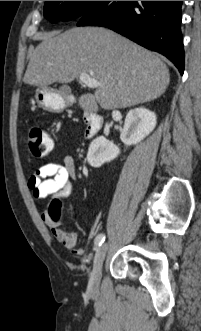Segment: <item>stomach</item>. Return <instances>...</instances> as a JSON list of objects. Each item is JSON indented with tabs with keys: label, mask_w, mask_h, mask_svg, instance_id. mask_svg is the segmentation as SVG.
Listing matches in <instances>:
<instances>
[{
	"label": "stomach",
	"mask_w": 201,
	"mask_h": 331,
	"mask_svg": "<svg viewBox=\"0 0 201 331\" xmlns=\"http://www.w3.org/2000/svg\"><path fill=\"white\" fill-rule=\"evenodd\" d=\"M38 105L49 111H60L66 107V102L46 87H39L35 92Z\"/></svg>",
	"instance_id": "0dacf381"
}]
</instances>
